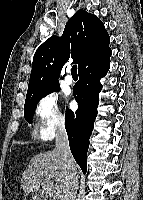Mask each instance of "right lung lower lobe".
I'll return each instance as SVG.
<instances>
[{"instance_id":"obj_1","label":"right lung lower lobe","mask_w":143,"mask_h":200,"mask_svg":"<svg viewBox=\"0 0 143 200\" xmlns=\"http://www.w3.org/2000/svg\"><path fill=\"white\" fill-rule=\"evenodd\" d=\"M110 56L111 49L108 48L79 69V81L74 86V97L79 108L76 112L66 110L65 125L70 149L84 173L87 170L89 138L97 116L98 94L102 88L100 79L108 72Z\"/></svg>"}]
</instances>
